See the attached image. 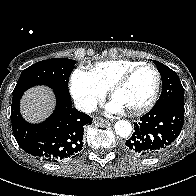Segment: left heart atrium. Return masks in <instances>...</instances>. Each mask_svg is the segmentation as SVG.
<instances>
[{
	"label": "left heart atrium",
	"instance_id": "1",
	"mask_svg": "<svg viewBox=\"0 0 196 196\" xmlns=\"http://www.w3.org/2000/svg\"><path fill=\"white\" fill-rule=\"evenodd\" d=\"M107 110L111 113H122L125 108L114 99L107 105Z\"/></svg>",
	"mask_w": 196,
	"mask_h": 196
}]
</instances>
